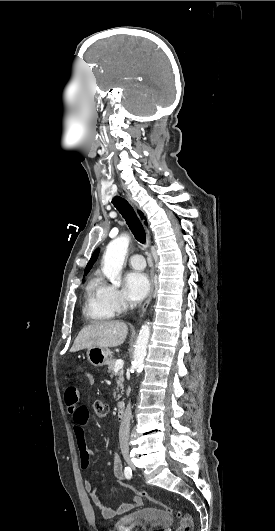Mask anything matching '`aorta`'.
Here are the masks:
<instances>
[{"mask_svg": "<svg viewBox=\"0 0 275 531\" xmlns=\"http://www.w3.org/2000/svg\"><path fill=\"white\" fill-rule=\"evenodd\" d=\"M130 239L127 235H121L118 239L111 241L106 247V251L102 257L103 267L102 273L109 279L110 283H114L122 271L125 257L128 253ZM150 339V323L142 325L141 331L137 337L135 351L133 353V369L137 375L142 373L144 367V359L147 355V345Z\"/></svg>", "mask_w": 275, "mask_h": 531, "instance_id": "obj_1", "label": "aorta"}]
</instances>
